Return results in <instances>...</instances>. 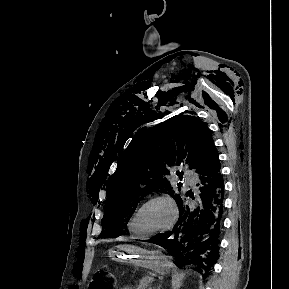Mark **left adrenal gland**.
<instances>
[{
  "mask_svg": "<svg viewBox=\"0 0 289 289\" xmlns=\"http://www.w3.org/2000/svg\"><path fill=\"white\" fill-rule=\"evenodd\" d=\"M156 289H161V285H159Z\"/></svg>",
  "mask_w": 289,
  "mask_h": 289,
  "instance_id": "obj_1",
  "label": "left adrenal gland"
}]
</instances>
